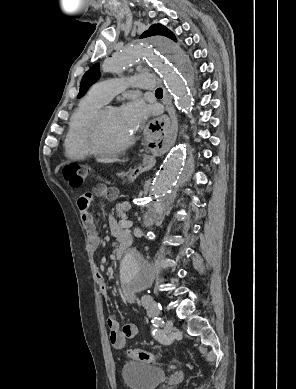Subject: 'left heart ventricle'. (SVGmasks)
Instances as JSON below:
<instances>
[{"instance_id":"left-heart-ventricle-1","label":"left heart ventricle","mask_w":296,"mask_h":389,"mask_svg":"<svg viewBox=\"0 0 296 389\" xmlns=\"http://www.w3.org/2000/svg\"><path fill=\"white\" fill-rule=\"evenodd\" d=\"M132 133L126 127L119 110L109 111L102 123L101 141L107 147H115L126 142Z\"/></svg>"}]
</instances>
